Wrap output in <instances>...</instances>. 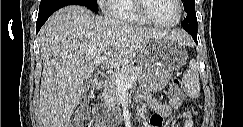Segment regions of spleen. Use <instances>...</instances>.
I'll return each instance as SVG.
<instances>
[{"label":"spleen","instance_id":"obj_1","mask_svg":"<svg viewBox=\"0 0 243 127\" xmlns=\"http://www.w3.org/2000/svg\"><path fill=\"white\" fill-rule=\"evenodd\" d=\"M183 88L186 94L191 98H198L200 95V82L198 73V63L192 59L189 68L182 77Z\"/></svg>","mask_w":243,"mask_h":127}]
</instances>
